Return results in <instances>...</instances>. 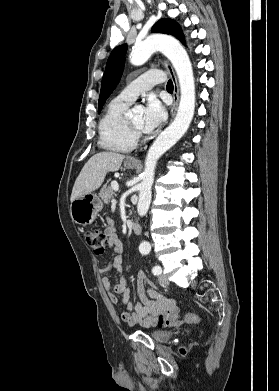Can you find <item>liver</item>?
Segmentation results:
<instances>
[{
    "instance_id": "liver-1",
    "label": "liver",
    "mask_w": 279,
    "mask_h": 391,
    "mask_svg": "<svg viewBox=\"0 0 279 391\" xmlns=\"http://www.w3.org/2000/svg\"><path fill=\"white\" fill-rule=\"evenodd\" d=\"M124 155L115 152H100L93 155L78 175L71 194V203L78 197L97 190L109 172H116L121 167Z\"/></svg>"
}]
</instances>
